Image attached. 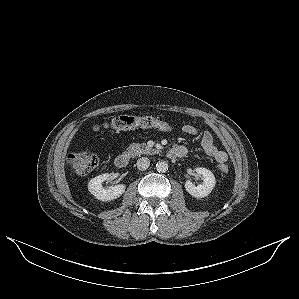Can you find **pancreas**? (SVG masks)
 Masks as SVG:
<instances>
[{
  "mask_svg": "<svg viewBox=\"0 0 299 299\" xmlns=\"http://www.w3.org/2000/svg\"><path fill=\"white\" fill-rule=\"evenodd\" d=\"M132 157L140 156V155H148L155 153V149L148 147L146 144L132 143L125 151Z\"/></svg>",
  "mask_w": 299,
  "mask_h": 299,
  "instance_id": "obj_1",
  "label": "pancreas"
}]
</instances>
